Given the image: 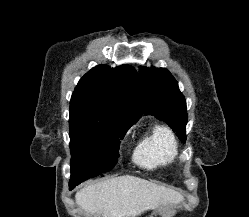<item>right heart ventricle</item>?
I'll use <instances>...</instances> for the list:
<instances>
[{"instance_id": "obj_1", "label": "right heart ventricle", "mask_w": 249, "mask_h": 217, "mask_svg": "<svg viewBox=\"0 0 249 217\" xmlns=\"http://www.w3.org/2000/svg\"><path fill=\"white\" fill-rule=\"evenodd\" d=\"M178 143L172 131L164 125H154L135 149L133 159L147 170L167 169L178 159Z\"/></svg>"}]
</instances>
